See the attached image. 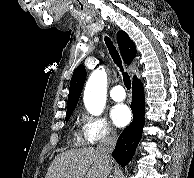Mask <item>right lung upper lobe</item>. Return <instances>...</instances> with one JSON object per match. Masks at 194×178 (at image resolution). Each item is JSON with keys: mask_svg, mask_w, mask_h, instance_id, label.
Returning a JSON list of instances; mask_svg holds the SVG:
<instances>
[{"mask_svg": "<svg viewBox=\"0 0 194 178\" xmlns=\"http://www.w3.org/2000/svg\"><path fill=\"white\" fill-rule=\"evenodd\" d=\"M117 41L123 60L126 64H130L136 55V46L134 42L124 31L117 33ZM86 79V71L84 65H79L73 73L69 95L67 112L73 111L79 100L84 82ZM136 77L133 78L135 80Z\"/></svg>", "mask_w": 194, "mask_h": 178, "instance_id": "right-lung-upper-lobe-1", "label": "right lung upper lobe"}]
</instances>
